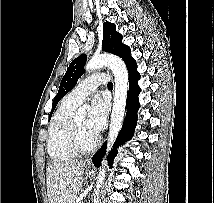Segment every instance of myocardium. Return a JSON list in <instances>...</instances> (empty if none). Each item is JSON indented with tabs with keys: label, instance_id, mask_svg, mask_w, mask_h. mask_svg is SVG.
<instances>
[{
	"label": "myocardium",
	"instance_id": "1",
	"mask_svg": "<svg viewBox=\"0 0 214 203\" xmlns=\"http://www.w3.org/2000/svg\"><path fill=\"white\" fill-rule=\"evenodd\" d=\"M99 137L95 135L93 142L86 146L83 144L79 129L77 128L75 122H71L70 132H69V144L71 150L76 154H86L94 151L99 144Z\"/></svg>",
	"mask_w": 214,
	"mask_h": 203
}]
</instances>
